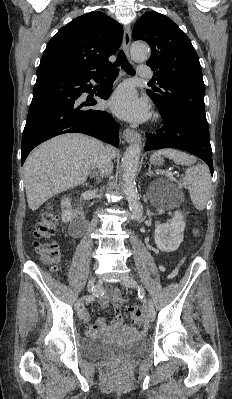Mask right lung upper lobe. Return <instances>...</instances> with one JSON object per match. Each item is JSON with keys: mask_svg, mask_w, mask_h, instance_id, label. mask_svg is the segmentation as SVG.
<instances>
[{"mask_svg": "<svg viewBox=\"0 0 232 399\" xmlns=\"http://www.w3.org/2000/svg\"><path fill=\"white\" fill-rule=\"evenodd\" d=\"M122 37L121 25L104 13L81 15L48 42L37 76L104 72L111 67L108 58L118 50Z\"/></svg>", "mask_w": 232, "mask_h": 399, "instance_id": "1", "label": "right lung upper lobe"}]
</instances>
